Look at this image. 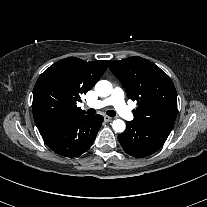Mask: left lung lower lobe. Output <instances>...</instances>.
<instances>
[{"label": "left lung lower lobe", "mask_w": 207, "mask_h": 207, "mask_svg": "<svg viewBox=\"0 0 207 207\" xmlns=\"http://www.w3.org/2000/svg\"><path fill=\"white\" fill-rule=\"evenodd\" d=\"M170 132L141 126L127 121L125 132L118 136L125 152L133 157H146L155 153L166 141Z\"/></svg>", "instance_id": "left-lung-lower-lobe-1"}]
</instances>
